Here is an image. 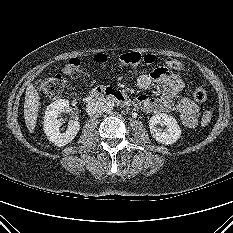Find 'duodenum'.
<instances>
[{"mask_svg": "<svg viewBox=\"0 0 233 233\" xmlns=\"http://www.w3.org/2000/svg\"><path fill=\"white\" fill-rule=\"evenodd\" d=\"M104 100L114 101L122 106L131 105V99L127 94L112 87L98 86L92 89L87 96V101L89 103Z\"/></svg>", "mask_w": 233, "mask_h": 233, "instance_id": "1", "label": "duodenum"}]
</instances>
